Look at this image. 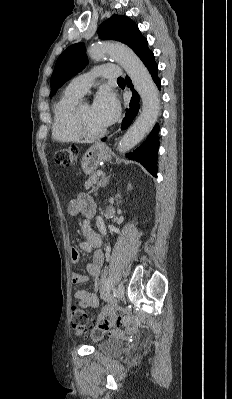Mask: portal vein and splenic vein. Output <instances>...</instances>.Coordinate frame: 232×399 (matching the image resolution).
<instances>
[{
    "instance_id": "portal-vein-and-splenic-vein-1",
    "label": "portal vein and splenic vein",
    "mask_w": 232,
    "mask_h": 399,
    "mask_svg": "<svg viewBox=\"0 0 232 399\" xmlns=\"http://www.w3.org/2000/svg\"><path fill=\"white\" fill-rule=\"evenodd\" d=\"M98 176H103V172H101V170H99Z\"/></svg>"
}]
</instances>
